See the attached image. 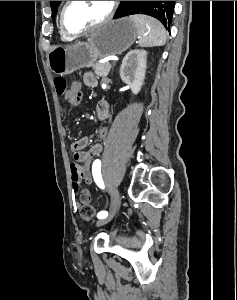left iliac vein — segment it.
<instances>
[{
  "label": "left iliac vein",
  "instance_id": "obj_1",
  "mask_svg": "<svg viewBox=\"0 0 237 300\" xmlns=\"http://www.w3.org/2000/svg\"><path fill=\"white\" fill-rule=\"evenodd\" d=\"M118 206H119V191L117 189H115V191L112 195V201H111V205H110V209H109V215L104 220H99L97 222V225L100 226V225H103V224L107 223L108 221H110L114 217Z\"/></svg>",
  "mask_w": 237,
  "mask_h": 300
}]
</instances>
